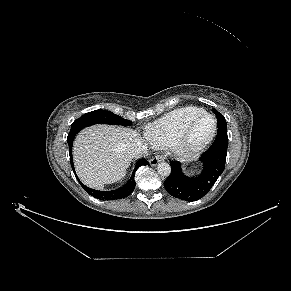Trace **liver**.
<instances>
[{"mask_svg": "<svg viewBox=\"0 0 291 291\" xmlns=\"http://www.w3.org/2000/svg\"><path fill=\"white\" fill-rule=\"evenodd\" d=\"M130 128L94 125L82 130L74 141L76 172L88 187L102 189L104 184L121 180L132 157L129 146L138 141Z\"/></svg>", "mask_w": 291, "mask_h": 291, "instance_id": "1", "label": "liver"}]
</instances>
